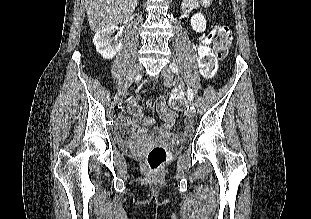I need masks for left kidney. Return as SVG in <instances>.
I'll return each instance as SVG.
<instances>
[{
	"label": "left kidney",
	"instance_id": "obj_1",
	"mask_svg": "<svg viewBox=\"0 0 311 219\" xmlns=\"http://www.w3.org/2000/svg\"><path fill=\"white\" fill-rule=\"evenodd\" d=\"M192 29L198 33L206 30V19L202 13H196L191 17Z\"/></svg>",
	"mask_w": 311,
	"mask_h": 219
}]
</instances>
